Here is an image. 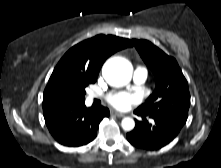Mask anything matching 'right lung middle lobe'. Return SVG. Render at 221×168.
Listing matches in <instances>:
<instances>
[{
  "instance_id": "1",
  "label": "right lung middle lobe",
  "mask_w": 221,
  "mask_h": 168,
  "mask_svg": "<svg viewBox=\"0 0 221 168\" xmlns=\"http://www.w3.org/2000/svg\"><path fill=\"white\" fill-rule=\"evenodd\" d=\"M97 76L89 75L78 71H63L53 80L51 85L52 95L58 101L64 102H84L85 88L89 84L95 83Z\"/></svg>"
}]
</instances>
